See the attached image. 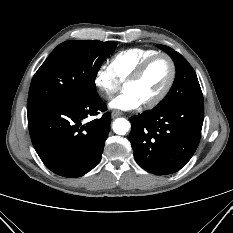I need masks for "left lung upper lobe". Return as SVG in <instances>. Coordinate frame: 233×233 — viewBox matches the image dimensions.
<instances>
[{"instance_id": "obj_1", "label": "left lung upper lobe", "mask_w": 233, "mask_h": 233, "mask_svg": "<svg viewBox=\"0 0 233 233\" xmlns=\"http://www.w3.org/2000/svg\"><path fill=\"white\" fill-rule=\"evenodd\" d=\"M173 59L176 77L167 96L153 109L163 108L176 103H203L202 91L195 71L187 60L172 48L160 45Z\"/></svg>"}]
</instances>
